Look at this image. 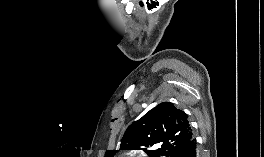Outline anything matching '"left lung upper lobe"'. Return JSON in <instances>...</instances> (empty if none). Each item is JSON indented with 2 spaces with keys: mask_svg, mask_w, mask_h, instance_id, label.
<instances>
[{
  "mask_svg": "<svg viewBox=\"0 0 264 157\" xmlns=\"http://www.w3.org/2000/svg\"><path fill=\"white\" fill-rule=\"evenodd\" d=\"M192 139L187 114L172 103L163 102L128 127L120 150H143L149 157H183ZM115 153L116 150H107L105 157Z\"/></svg>",
  "mask_w": 264,
  "mask_h": 157,
  "instance_id": "left-lung-upper-lobe-1",
  "label": "left lung upper lobe"
}]
</instances>
